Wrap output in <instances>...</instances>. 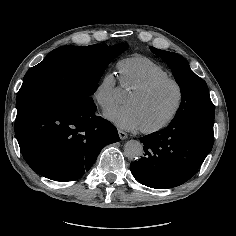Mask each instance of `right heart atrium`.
<instances>
[{"instance_id": "1", "label": "right heart atrium", "mask_w": 236, "mask_h": 236, "mask_svg": "<svg viewBox=\"0 0 236 236\" xmlns=\"http://www.w3.org/2000/svg\"><path fill=\"white\" fill-rule=\"evenodd\" d=\"M120 79L111 71L101 77L92 91V98L104 111L112 109L117 103L116 92L119 89Z\"/></svg>"}]
</instances>
